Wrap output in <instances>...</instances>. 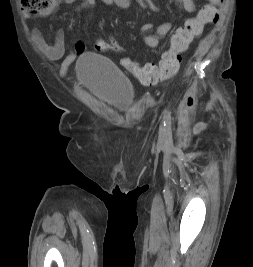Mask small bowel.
Wrapping results in <instances>:
<instances>
[{"mask_svg": "<svg viewBox=\"0 0 253 267\" xmlns=\"http://www.w3.org/2000/svg\"><path fill=\"white\" fill-rule=\"evenodd\" d=\"M77 0H57L58 4L64 2L67 5H73ZM108 6L117 7L120 9H127L131 6L132 0H101ZM178 10L193 13L196 10V0H174ZM96 0H81L77 5L76 10L82 11L95 7ZM175 27L173 22H164L157 26L151 23H144L142 30L145 33V43L150 48H157L160 40L168 35ZM33 41L37 48L49 59L59 60L63 58L61 68L62 70L74 62L77 55L85 50V44L82 41L76 43L74 50H69L65 40L63 29H59L55 36L53 44H49L44 38L40 28H35L33 31Z\"/></svg>", "mask_w": 253, "mask_h": 267, "instance_id": "small-bowel-1", "label": "small bowel"}]
</instances>
